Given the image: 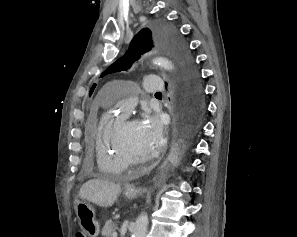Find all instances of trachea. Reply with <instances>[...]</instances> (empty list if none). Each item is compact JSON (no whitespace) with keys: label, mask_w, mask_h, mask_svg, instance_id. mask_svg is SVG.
I'll use <instances>...</instances> for the list:
<instances>
[{"label":"trachea","mask_w":297,"mask_h":237,"mask_svg":"<svg viewBox=\"0 0 297 237\" xmlns=\"http://www.w3.org/2000/svg\"><path fill=\"white\" fill-rule=\"evenodd\" d=\"M156 94H157V95H161L162 93H161V92H157Z\"/></svg>","instance_id":"3493384b"}]
</instances>
